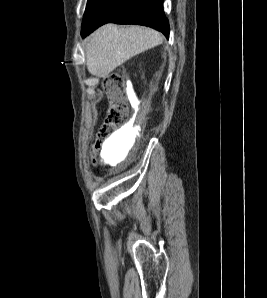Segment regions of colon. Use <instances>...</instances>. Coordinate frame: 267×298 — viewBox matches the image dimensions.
I'll use <instances>...</instances> for the list:
<instances>
[{"label":"colon","mask_w":267,"mask_h":298,"mask_svg":"<svg viewBox=\"0 0 267 298\" xmlns=\"http://www.w3.org/2000/svg\"><path fill=\"white\" fill-rule=\"evenodd\" d=\"M105 87L110 98V106L92 150L93 164H95V156L106 140L117 130L123 128L129 121L127 106L123 98L124 80L122 76L118 73H112L105 80Z\"/></svg>","instance_id":"5ec220e1"}]
</instances>
